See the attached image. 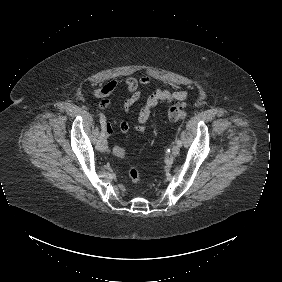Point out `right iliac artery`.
Returning a JSON list of instances; mask_svg holds the SVG:
<instances>
[{"label": "right iliac artery", "mask_w": 282, "mask_h": 282, "mask_svg": "<svg viewBox=\"0 0 282 282\" xmlns=\"http://www.w3.org/2000/svg\"><path fill=\"white\" fill-rule=\"evenodd\" d=\"M100 124H101V139L105 137V126H106V118L103 114H100Z\"/></svg>", "instance_id": "1"}]
</instances>
